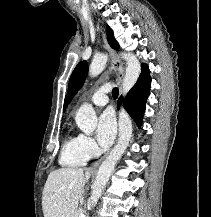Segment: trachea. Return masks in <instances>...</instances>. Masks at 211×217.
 <instances>
[{"label": "trachea", "mask_w": 211, "mask_h": 217, "mask_svg": "<svg viewBox=\"0 0 211 217\" xmlns=\"http://www.w3.org/2000/svg\"><path fill=\"white\" fill-rule=\"evenodd\" d=\"M118 93H119L118 88L115 87V88L113 89V91H112V96H113L114 98H117V97H118Z\"/></svg>", "instance_id": "1"}]
</instances>
